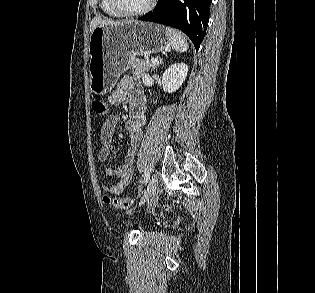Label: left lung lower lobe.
Segmentation results:
<instances>
[{"instance_id":"obj_1","label":"left lung lower lobe","mask_w":315,"mask_h":293,"mask_svg":"<svg viewBox=\"0 0 315 293\" xmlns=\"http://www.w3.org/2000/svg\"><path fill=\"white\" fill-rule=\"evenodd\" d=\"M211 0H158L156 7L138 18L183 31L198 50L207 30Z\"/></svg>"}]
</instances>
